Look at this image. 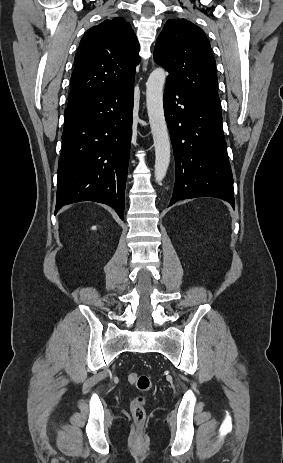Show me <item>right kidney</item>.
Instances as JSON below:
<instances>
[{"label":"right kidney","instance_id":"obj_1","mask_svg":"<svg viewBox=\"0 0 283 463\" xmlns=\"http://www.w3.org/2000/svg\"><path fill=\"white\" fill-rule=\"evenodd\" d=\"M92 229H93V230H96V226H93Z\"/></svg>","mask_w":283,"mask_h":463}]
</instances>
